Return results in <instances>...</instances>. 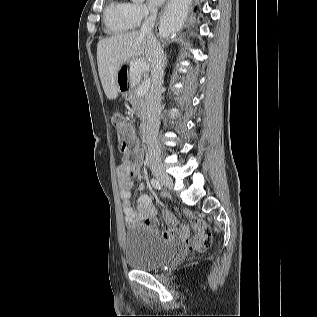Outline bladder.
Returning a JSON list of instances; mask_svg holds the SVG:
<instances>
[{
    "label": "bladder",
    "instance_id": "31cf9c89",
    "mask_svg": "<svg viewBox=\"0 0 317 317\" xmlns=\"http://www.w3.org/2000/svg\"><path fill=\"white\" fill-rule=\"evenodd\" d=\"M179 247L164 242L142 226H134L124 236L126 264L135 270L152 271L165 266L179 254Z\"/></svg>",
    "mask_w": 317,
    "mask_h": 317
}]
</instances>
